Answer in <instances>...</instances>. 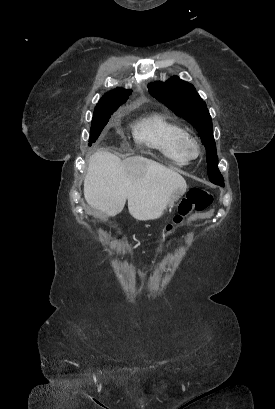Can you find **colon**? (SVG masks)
I'll return each instance as SVG.
<instances>
[{
  "label": "colon",
  "instance_id": "colon-1",
  "mask_svg": "<svg viewBox=\"0 0 275 409\" xmlns=\"http://www.w3.org/2000/svg\"><path fill=\"white\" fill-rule=\"evenodd\" d=\"M213 201V196L210 192L200 188L192 189L182 199L179 207V213L175 215L172 222H169L165 228V234L168 236L176 225L182 222L185 216L192 214L193 212L203 211L205 214L208 212L206 208ZM120 227H116L119 232ZM120 236V235H119Z\"/></svg>",
  "mask_w": 275,
  "mask_h": 409
}]
</instances>
